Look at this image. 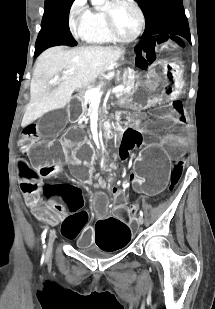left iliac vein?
Instances as JSON below:
<instances>
[{
    "label": "left iliac vein",
    "mask_w": 215,
    "mask_h": 309,
    "mask_svg": "<svg viewBox=\"0 0 215 309\" xmlns=\"http://www.w3.org/2000/svg\"><path fill=\"white\" fill-rule=\"evenodd\" d=\"M143 222H144V218L142 216H140L138 218V223L141 225V224H143Z\"/></svg>",
    "instance_id": "obj_1"
}]
</instances>
